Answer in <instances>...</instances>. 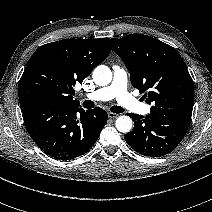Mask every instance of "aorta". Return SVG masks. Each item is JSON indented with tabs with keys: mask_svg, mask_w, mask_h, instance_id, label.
I'll list each match as a JSON object with an SVG mask.
<instances>
[{
	"mask_svg": "<svg viewBox=\"0 0 212 212\" xmlns=\"http://www.w3.org/2000/svg\"><path fill=\"white\" fill-rule=\"evenodd\" d=\"M93 81L99 86H106L112 80V72L105 65L97 66L92 73ZM116 128L119 132L128 133L132 128V119L129 116L123 115L116 119Z\"/></svg>",
	"mask_w": 212,
	"mask_h": 212,
	"instance_id": "aorta-1",
	"label": "aorta"
}]
</instances>
